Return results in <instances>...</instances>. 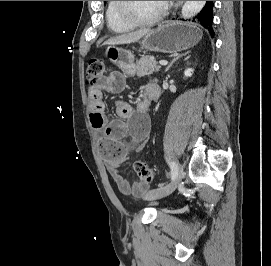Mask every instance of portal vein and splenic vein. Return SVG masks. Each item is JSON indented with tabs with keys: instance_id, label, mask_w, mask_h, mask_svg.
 Instances as JSON below:
<instances>
[{
	"instance_id": "18ae733b",
	"label": "portal vein and splenic vein",
	"mask_w": 271,
	"mask_h": 266,
	"mask_svg": "<svg viewBox=\"0 0 271 266\" xmlns=\"http://www.w3.org/2000/svg\"><path fill=\"white\" fill-rule=\"evenodd\" d=\"M167 64H168V61H166V60H160L159 61V65H161V66H165Z\"/></svg>"
}]
</instances>
